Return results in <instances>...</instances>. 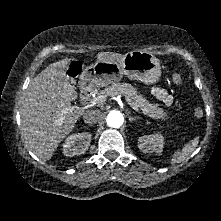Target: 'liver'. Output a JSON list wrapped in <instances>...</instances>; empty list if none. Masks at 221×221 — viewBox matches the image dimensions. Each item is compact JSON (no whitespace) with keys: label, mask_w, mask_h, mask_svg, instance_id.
<instances>
[{"label":"liver","mask_w":221,"mask_h":221,"mask_svg":"<svg viewBox=\"0 0 221 221\" xmlns=\"http://www.w3.org/2000/svg\"><path fill=\"white\" fill-rule=\"evenodd\" d=\"M97 60L119 61L123 55L100 52ZM70 59L50 64L30 83L20 109L22 135L28 148L41 160H49L60 142L73 130L85 112L77 108L63 113L77 92L66 76Z\"/></svg>","instance_id":"liver-1"}]
</instances>
